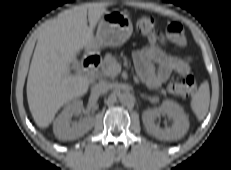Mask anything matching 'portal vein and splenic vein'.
<instances>
[{
  "instance_id": "1",
  "label": "portal vein and splenic vein",
  "mask_w": 231,
  "mask_h": 170,
  "mask_svg": "<svg viewBox=\"0 0 231 170\" xmlns=\"http://www.w3.org/2000/svg\"><path fill=\"white\" fill-rule=\"evenodd\" d=\"M113 74L117 75L121 71V65L120 64H114L111 66Z\"/></svg>"
}]
</instances>
